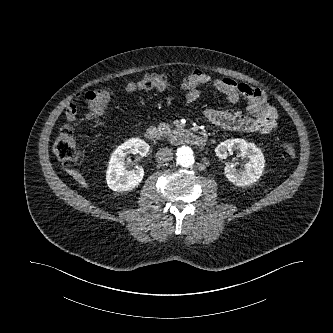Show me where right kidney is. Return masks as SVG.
Listing matches in <instances>:
<instances>
[{
  "mask_svg": "<svg viewBox=\"0 0 333 333\" xmlns=\"http://www.w3.org/2000/svg\"><path fill=\"white\" fill-rule=\"evenodd\" d=\"M149 148L148 143L136 138L126 141L112 153L106 172L107 185L111 190L115 192L131 191L141 183L144 176L143 168L136 167L130 170L125 157L128 153L145 157Z\"/></svg>",
  "mask_w": 333,
  "mask_h": 333,
  "instance_id": "ca27d5eb",
  "label": "right kidney"
}]
</instances>
